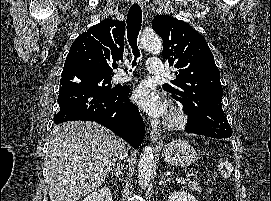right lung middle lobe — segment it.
I'll return each mask as SVG.
<instances>
[{"mask_svg":"<svg viewBox=\"0 0 271 201\" xmlns=\"http://www.w3.org/2000/svg\"><path fill=\"white\" fill-rule=\"evenodd\" d=\"M112 76L113 75L89 72L82 69H73L62 73L60 85L67 81H73L84 88H97L104 91H114L117 88H113L110 83Z\"/></svg>","mask_w":271,"mask_h":201,"instance_id":"right-lung-middle-lobe-1","label":"right lung middle lobe"}]
</instances>
